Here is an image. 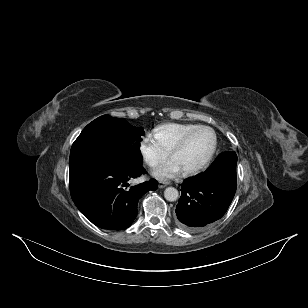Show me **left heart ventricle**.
Returning <instances> with one entry per match:
<instances>
[{
    "mask_svg": "<svg viewBox=\"0 0 308 308\" xmlns=\"http://www.w3.org/2000/svg\"><path fill=\"white\" fill-rule=\"evenodd\" d=\"M213 134L208 130H202L193 135L183 149L173 154L174 158L183 170L193 168L201 164L213 146Z\"/></svg>",
    "mask_w": 308,
    "mask_h": 308,
    "instance_id": "b2bd125f",
    "label": "left heart ventricle"
}]
</instances>
